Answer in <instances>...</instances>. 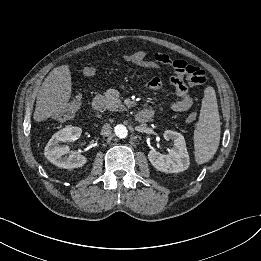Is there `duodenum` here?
Here are the masks:
<instances>
[{
	"instance_id": "1",
	"label": "duodenum",
	"mask_w": 261,
	"mask_h": 261,
	"mask_svg": "<svg viewBox=\"0 0 261 261\" xmlns=\"http://www.w3.org/2000/svg\"><path fill=\"white\" fill-rule=\"evenodd\" d=\"M92 108L95 111H101L103 108V99L101 96H96L92 102ZM153 115V111L149 108L141 109L136 113L135 120L139 124L146 123Z\"/></svg>"
}]
</instances>
